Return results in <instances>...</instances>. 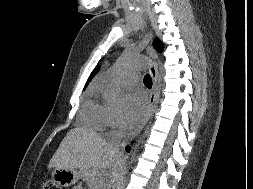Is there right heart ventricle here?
<instances>
[{"label":"right heart ventricle","mask_w":253,"mask_h":189,"mask_svg":"<svg viewBox=\"0 0 253 189\" xmlns=\"http://www.w3.org/2000/svg\"><path fill=\"white\" fill-rule=\"evenodd\" d=\"M99 93L98 87L92 88L80 112V121L93 130H102L107 124L108 108L99 100Z\"/></svg>","instance_id":"1"}]
</instances>
